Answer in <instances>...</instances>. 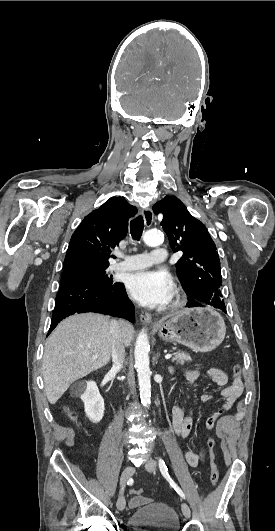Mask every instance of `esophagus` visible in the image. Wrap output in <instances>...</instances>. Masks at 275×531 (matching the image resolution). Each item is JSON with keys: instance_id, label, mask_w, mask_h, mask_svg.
Segmentation results:
<instances>
[{"instance_id": "34e87169", "label": "esophagus", "mask_w": 275, "mask_h": 531, "mask_svg": "<svg viewBox=\"0 0 275 531\" xmlns=\"http://www.w3.org/2000/svg\"><path fill=\"white\" fill-rule=\"evenodd\" d=\"M142 214H143V218H144V221H145V226L146 227H150L151 224L153 223V219H154V214H153L152 209L151 208H146V209L143 210ZM140 319H141L142 323L152 324L153 326H156L155 323H152L151 315L149 313L145 312V311L141 312Z\"/></svg>"}]
</instances>
